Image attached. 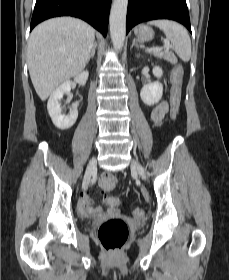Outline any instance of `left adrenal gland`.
I'll use <instances>...</instances> for the list:
<instances>
[{
	"label": "left adrenal gland",
	"mask_w": 229,
	"mask_h": 280,
	"mask_svg": "<svg viewBox=\"0 0 229 280\" xmlns=\"http://www.w3.org/2000/svg\"><path fill=\"white\" fill-rule=\"evenodd\" d=\"M136 45V39H133L131 48Z\"/></svg>",
	"instance_id": "obj_1"
}]
</instances>
